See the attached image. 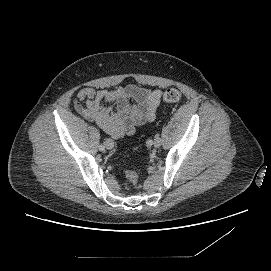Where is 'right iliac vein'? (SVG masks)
Returning a JSON list of instances; mask_svg holds the SVG:
<instances>
[{"label": "right iliac vein", "mask_w": 271, "mask_h": 271, "mask_svg": "<svg viewBox=\"0 0 271 271\" xmlns=\"http://www.w3.org/2000/svg\"><path fill=\"white\" fill-rule=\"evenodd\" d=\"M105 146H106V148L109 149V150L112 149L113 146H114L113 140L107 139V140L105 141Z\"/></svg>", "instance_id": "63e3f726"}]
</instances>
